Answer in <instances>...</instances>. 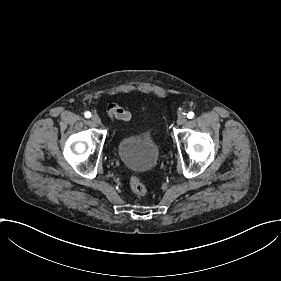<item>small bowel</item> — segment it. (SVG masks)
<instances>
[{
  "label": "small bowel",
  "mask_w": 281,
  "mask_h": 281,
  "mask_svg": "<svg viewBox=\"0 0 281 281\" xmlns=\"http://www.w3.org/2000/svg\"><path fill=\"white\" fill-rule=\"evenodd\" d=\"M107 114L112 120L129 121L132 118L129 111L120 108L116 103L109 105Z\"/></svg>",
  "instance_id": "small-bowel-1"
}]
</instances>
